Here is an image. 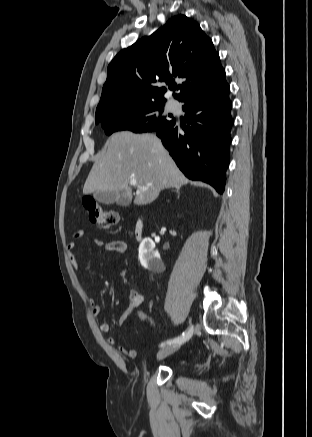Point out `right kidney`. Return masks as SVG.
I'll use <instances>...</instances> for the list:
<instances>
[{
  "label": "right kidney",
  "mask_w": 312,
  "mask_h": 437,
  "mask_svg": "<svg viewBox=\"0 0 312 437\" xmlns=\"http://www.w3.org/2000/svg\"><path fill=\"white\" fill-rule=\"evenodd\" d=\"M154 248L155 243L150 238H144L139 246L140 263L149 270H159L163 267V262Z\"/></svg>",
  "instance_id": "right-kidney-1"
}]
</instances>
